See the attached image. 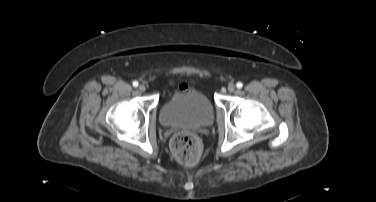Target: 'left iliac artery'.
<instances>
[{
    "instance_id": "left-iliac-artery-1",
    "label": "left iliac artery",
    "mask_w": 376,
    "mask_h": 202,
    "mask_svg": "<svg viewBox=\"0 0 376 202\" xmlns=\"http://www.w3.org/2000/svg\"><path fill=\"white\" fill-rule=\"evenodd\" d=\"M236 87L239 88V89H241V88L243 87V84H242L241 82H238V83L236 84Z\"/></svg>"
}]
</instances>
